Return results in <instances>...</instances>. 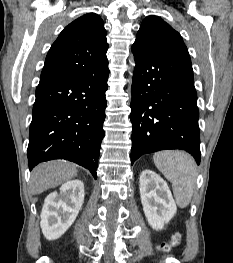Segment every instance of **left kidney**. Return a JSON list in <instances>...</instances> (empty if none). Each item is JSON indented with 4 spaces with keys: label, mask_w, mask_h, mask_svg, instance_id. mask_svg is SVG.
Masks as SVG:
<instances>
[{
    "label": "left kidney",
    "mask_w": 233,
    "mask_h": 263,
    "mask_svg": "<svg viewBox=\"0 0 233 263\" xmlns=\"http://www.w3.org/2000/svg\"><path fill=\"white\" fill-rule=\"evenodd\" d=\"M141 203L150 226L161 230L176 214L177 207L167 183L152 170H143L139 178Z\"/></svg>",
    "instance_id": "5707ae66"
}]
</instances>
